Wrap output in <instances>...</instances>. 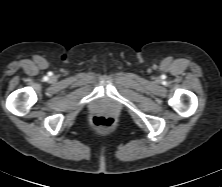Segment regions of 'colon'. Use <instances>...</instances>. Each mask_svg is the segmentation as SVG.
Wrapping results in <instances>:
<instances>
[{
	"label": "colon",
	"mask_w": 222,
	"mask_h": 187,
	"mask_svg": "<svg viewBox=\"0 0 222 187\" xmlns=\"http://www.w3.org/2000/svg\"><path fill=\"white\" fill-rule=\"evenodd\" d=\"M93 125L101 130H108L113 127L114 120L111 117L97 116L92 120Z\"/></svg>",
	"instance_id": "5ec220e1"
}]
</instances>
